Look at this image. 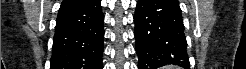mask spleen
<instances>
[{
	"mask_svg": "<svg viewBox=\"0 0 246 69\" xmlns=\"http://www.w3.org/2000/svg\"><path fill=\"white\" fill-rule=\"evenodd\" d=\"M169 69H179V68L171 66Z\"/></svg>",
	"mask_w": 246,
	"mask_h": 69,
	"instance_id": "obj_1",
	"label": "spleen"
}]
</instances>
